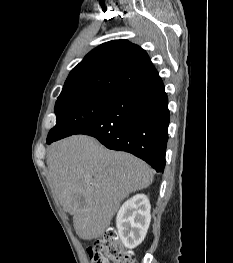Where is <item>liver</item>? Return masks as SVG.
<instances>
[{"label":"liver","instance_id":"1","mask_svg":"<svg viewBox=\"0 0 233 263\" xmlns=\"http://www.w3.org/2000/svg\"><path fill=\"white\" fill-rule=\"evenodd\" d=\"M47 165L59 202L73 216L75 231L83 240L101 237L122 200L153 181L145 162L108 150L85 135L53 143Z\"/></svg>","mask_w":233,"mask_h":263}]
</instances>
